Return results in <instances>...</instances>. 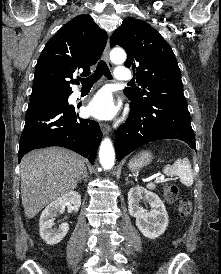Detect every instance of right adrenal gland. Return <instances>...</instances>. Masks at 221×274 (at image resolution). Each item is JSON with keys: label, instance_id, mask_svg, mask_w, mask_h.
Here are the masks:
<instances>
[{"label": "right adrenal gland", "instance_id": "right-adrenal-gland-1", "mask_svg": "<svg viewBox=\"0 0 221 274\" xmlns=\"http://www.w3.org/2000/svg\"><path fill=\"white\" fill-rule=\"evenodd\" d=\"M87 177H88L87 168L85 167L84 173H83L82 177L80 178L79 183H81V181H82L83 179H84V181L86 182V181H87Z\"/></svg>", "mask_w": 221, "mask_h": 274}]
</instances>
